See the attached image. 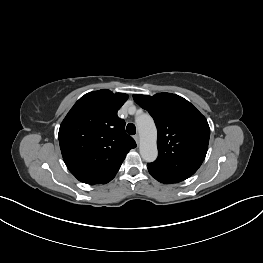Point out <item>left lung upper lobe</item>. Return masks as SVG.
Segmentation results:
<instances>
[{
  "label": "left lung upper lobe",
  "instance_id": "left-lung-upper-lobe-1",
  "mask_svg": "<svg viewBox=\"0 0 263 263\" xmlns=\"http://www.w3.org/2000/svg\"><path fill=\"white\" fill-rule=\"evenodd\" d=\"M133 99L150 113L158 131V158L148 163V169L180 181L192 176L208 149L210 128L205 117L175 94H135Z\"/></svg>",
  "mask_w": 263,
  "mask_h": 263
}]
</instances>
